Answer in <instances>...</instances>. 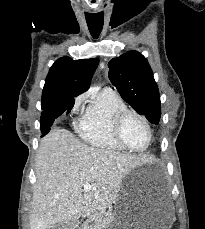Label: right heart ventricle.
<instances>
[{
  "mask_svg": "<svg viewBox=\"0 0 205 229\" xmlns=\"http://www.w3.org/2000/svg\"><path fill=\"white\" fill-rule=\"evenodd\" d=\"M117 92L104 88L91 97L83 115L76 124L80 137L89 145L111 151L125 148L116 140L113 127L117 113L127 109Z\"/></svg>",
  "mask_w": 205,
  "mask_h": 229,
  "instance_id": "obj_1",
  "label": "right heart ventricle"
}]
</instances>
